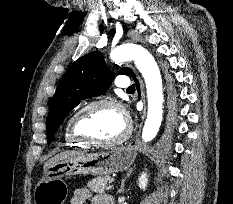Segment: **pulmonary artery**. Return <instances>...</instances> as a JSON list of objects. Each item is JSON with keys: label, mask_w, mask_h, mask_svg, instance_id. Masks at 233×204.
Listing matches in <instances>:
<instances>
[{"label": "pulmonary artery", "mask_w": 233, "mask_h": 204, "mask_svg": "<svg viewBox=\"0 0 233 204\" xmlns=\"http://www.w3.org/2000/svg\"><path fill=\"white\" fill-rule=\"evenodd\" d=\"M116 85L120 88H128L131 86V80L126 75H121L116 81Z\"/></svg>", "instance_id": "e3ab8cb5"}]
</instances>
